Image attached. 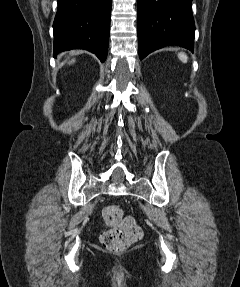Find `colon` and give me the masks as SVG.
Segmentation results:
<instances>
[{"label": "colon", "instance_id": "1", "mask_svg": "<svg viewBox=\"0 0 240 287\" xmlns=\"http://www.w3.org/2000/svg\"><path fill=\"white\" fill-rule=\"evenodd\" d=\"M103 220L108 226L100 237L105 249L112 253L124 252L132 243L139 240L142 230L131 216H124L119 205H108L102 212Z\"/></svg>", "mask_w": 240, "mask_h": 287}]
</instances>
